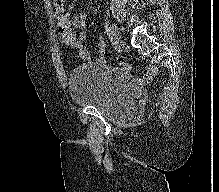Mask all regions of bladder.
Here are the masks:
<instances>
[{
  "mask_svg": "<svg viewBox=\"0 0 219 192\" xmlns=\"http://www.w3.org/2000/svg\"><path fill=\"white\" fill-rule=\"evenodd\" d=\"M73 101L97 109L114 120L134 117L140 107V93L129 76L110 65L85 63L68 76Z\"/></svg>",
  "mask_w": 219,
  "mask_h": 192,
  "instance_id": "obj_1",
  "label": "bladder"
}]
</instances>
